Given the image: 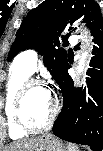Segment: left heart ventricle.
Here are the masks:
<instances>
[{"label":"left heart ventricle","instance_id":"b2bd125f","mask_svg":"<svg viewBox=\"0 0 103 151\" xmlns=\"http://www.w3.org/2000/svg\"><path fill=\"white\" fill-rule=\"evenodd\" d=\"M51 98L46 89L40 86L28 90L22 105V118L32 127L43 126L50 115Z\"/></svg>","mask_w":103,"mask_h":151}]
</instances>
